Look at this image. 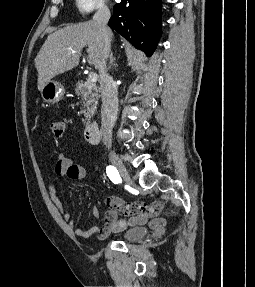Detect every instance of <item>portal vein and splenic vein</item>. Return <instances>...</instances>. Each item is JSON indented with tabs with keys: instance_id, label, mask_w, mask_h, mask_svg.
<instances>
[{
	"instance_id": "18ae733b",
	"label": "portal vein and splenic vein",
	"mask_w": 255,
	"mask_h": 287,
	"mask_svg": "<svg viewBox=\"0 0 255 287\" xmlns=\"http://www.w3.org/2000/svg\"><path fill=\"white\" fill-rule=\"evenodd\" d=\"M73 54H76V52H73ZM97 80H98L97 74H89L88 82H97Z\"/></svg>"
}]
</instances>
